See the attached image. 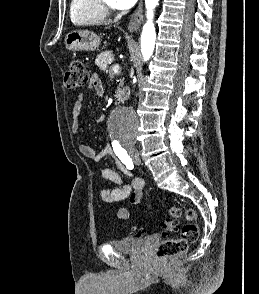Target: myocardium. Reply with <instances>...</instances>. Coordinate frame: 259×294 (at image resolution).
Masks as SVG:
<instances>
[{
	"instance_id": "f54148a6",
	"label": "myocardium",
	"mask_w": 259,
	"mask_h": 294,
	"mask_svg": "<svg viewBox=\"0 0 259 294\" xmlns=\"http://www.w3.org/2000/svg\"><path fill=\"white\" fill-rule=\"evenodd\" d=\"M99 4L105 14H111L114 12V7L111 4H108L106 0H99Z\"/></svg>"
}]
</instances>
